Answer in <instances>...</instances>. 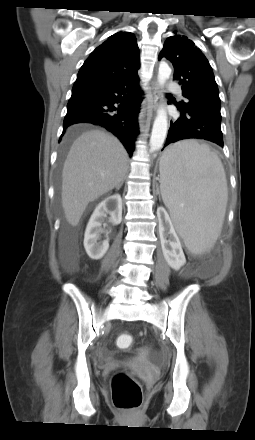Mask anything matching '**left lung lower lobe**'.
<instances>
[{"label": "left lung lower lobe", "mask_w": 255, "mask_h": 440, "mask_svg": "<svg viewBox=\"0 0 255 440\" xmlns=\"http://www.w3.org/2000/svg\"><path fill=\"white\" fill-rule=\"evenodd\" d=\"M178 109L181 117L171 121L164 148L170 143L190 138L208 140L223 147L220 115L202 110Z\"/></svg>", "instance_id": "0a47b994"}]
</instances>
